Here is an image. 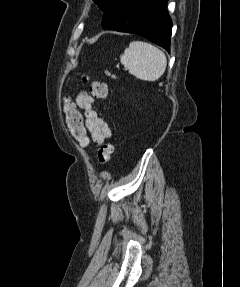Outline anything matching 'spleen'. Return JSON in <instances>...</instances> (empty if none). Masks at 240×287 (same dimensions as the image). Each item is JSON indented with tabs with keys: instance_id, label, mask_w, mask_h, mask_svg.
<instances>
[{
	"instance_id": "obj_1",
	"label": "spleen",
	"mask_w": 240,
	"mask_h": 287,
	"mask_svg": "<svg viewBox=\"0 0 240 287\" xmlns=\"http://www.w3.org/2000/svg\"><path fill=\"white\" fill-rule=\"evenodd\" d=\"M121 63L129 73L144 81H156L159 79L167 65L165 54L154 45L133 41L120 56Z\"/></svg>"
}]
</instances>
